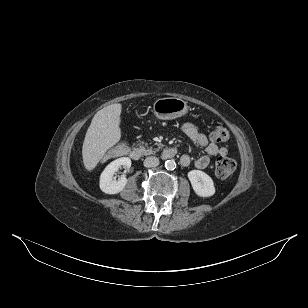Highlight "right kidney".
Returning a JSON list of instances; mask_svg holds the SVG:
<instances>
[{
    "label": "right kidney",
    "instance_id": "right-kidney-1",
    "mask_svg": "<svg viewBox=\"0 0 308 308\" xmlns=\"http://www.w3.org/2000/svg\"><path fill=\"white\" fill-rule=\"evenodd\" d=\"M120 166L131 167V160L128 157L118 158L112 161L102 172L100 176V189L106 194H117L121 192L126 184L127 178L121 177L118 180L114 178L115 172Z\"/></svg>",
    "mask_w": 308,
    "mask_h": 308
}]
</instances>
